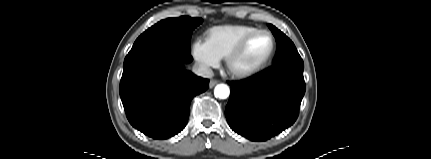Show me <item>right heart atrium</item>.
<instances>
[{
	"label": "right heart atrium",
	"mask_w": 431,
	"mask_h": 159,
	"mask_svg": "<svg viewBox=\"0 0 431 159\" xmlns=\"http://www.w3.org/2000/svg\"><path fill=\"white\" fill-rule=\"evenodd\" d=\"M191 50L194 59L204 70L209 71L219 65L220 59L210 49L205 41L200 39L194 41Z\"/></svg>",
	"instance_id": "d8ad5b80"
}]
</instances>
